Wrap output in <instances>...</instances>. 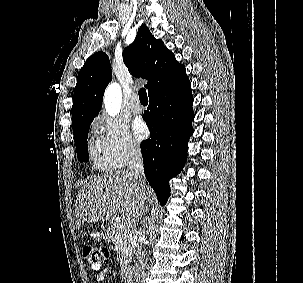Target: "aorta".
I'll return each instance as SVG.
<instances>
[{"mask_svg": "<svg viewBox=\"0 0 303 283\" xmlns=\"http://www.w3.org/2000/svg\"><path fill=\"white\" fill-rule=\"evenodd\" d=\"M122 103V92L121 87L118 83H111L104 95V106L106 112L110 116H115L119 113Z\"/></svg>", "mask_w": 303, "mask_h": 283, "instance_id": "obj_1", "label": "aorta"}]
</instances>
